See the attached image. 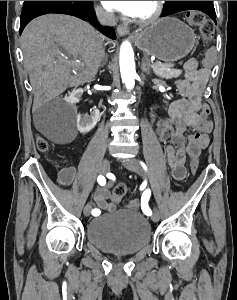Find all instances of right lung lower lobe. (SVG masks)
<instances>
[{"mask_svg": "<svg viewBox=\"0 0 237 300\" xmlns=\"http://www.w3.org/2000/svg\"><path fill=\"white\" fill-rule=\"evenodd\" d=\"M67 14L76 16L84 21H89L96 27H100L93 11L92 1H45L27 9H22L20 17V33L34 18L49 14ZM100 31L111 39H115V31L112 27H100Z\"/></svg>", "mask_w": 237, "mask_h": 300, "instance_id": "98d812e1", "label": "right lung lower lobe"}]
</instances>
